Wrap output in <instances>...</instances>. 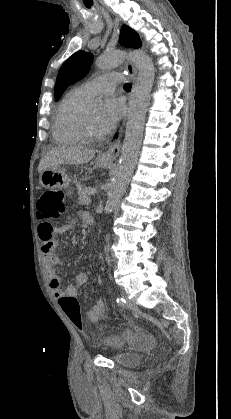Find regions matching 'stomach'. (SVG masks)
I'll list each match as a JSON object with an SVG mask.
<instances>
[{"mask_svg": "<svg viewBox=\"0 0 231 419\" xmlns=\"http://www.w3.org/2000/svg\"><path fill=\"white\" fill-rule=\"evenodd\" d=\"M95 164L98 167L107 168L112 164V161L99 155L95 160ZM39 182L42 187L47 189H68L71 181L65 170L58 166L42 171L39 176Z\"/></svg>", "mask_w": 231, "mask_h": 419, "instance_id": "0dacf381", "label": "stomach"}]
</instances>
